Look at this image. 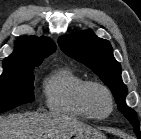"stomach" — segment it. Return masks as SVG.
Masks as SVG:
<instances>
[{
  "instance_id": "0dacf381",
  "label": "stomach",
  "mask_w": 141,
  "mask_h": 139,
  "mask_svg": "<svg viewBox=\"0 0 141 139\" xmlns=\"http://www.w3.org/2000/svg\"><path fill=\"white\" fill-rule=\"evenodd\" d=\"M74 139H106L103 134L95 129L78 132Z\"/></svg>"
}]
</instances>
